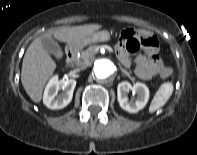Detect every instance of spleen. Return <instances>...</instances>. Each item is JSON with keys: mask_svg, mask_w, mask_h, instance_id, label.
<instances>
[{"mask_svg": "<svg viewBox=\"0 0 197 155\" xmlns=\"http://www.w3.org/2000/svg\"><path fill=\"white\" fill-rule=\"evenodd\" d=\"M174 87L173 84L170 82H165L161 84L159 89L156 91L151 104L149 106V112L153 113L162 106H164L169 98L171 97L173 93Z\"/></svg>", "mask_w": 197, "mask_h": 155, "instance_id": "obj_1", "label": "spleen"}]
</instances>
